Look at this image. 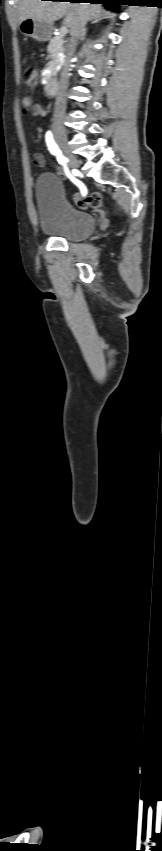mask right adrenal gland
Listing matches in <instances>:
<instances>
[{
    "label": "right adrenal gland",
    "mask_w": 162,
    "mask_h": 851,
    "mask_svg": "<svg viewBox=\"0 0 162 851\" xmlns=\"http://www.w3.org/2000/svg\"><path fill=\"white\" fill-rule=\"evenodd\" d=\"M85 36H86V29H85V30H84V32H83L82 40L85 38Z\"/></svg>",
    "instance_id": "1"
}]
</instances>
